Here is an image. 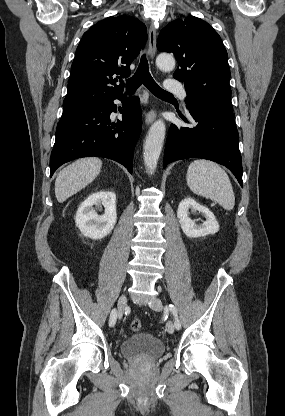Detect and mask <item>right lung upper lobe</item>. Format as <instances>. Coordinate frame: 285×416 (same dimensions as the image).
<instances>
[{
    "instance_id": "right-lung-upper-lobe-1",
    "label": "right lung upper lobe",
    "mask_w": 285,
    "mask_h": 416,
    "mask_svg": "<svg viewBox=\"0 0 285 416\" xmlns=\"http://www.w3.org/2000/svg\"><path fill=\"white\" fill-rule=\"evenodd\" d=\"M147 41L145 25L134 17H109L93 25L77 47L63 105H102L123 95L117 78L130 75V64Z\"/></svg>"
}]
</instances>
